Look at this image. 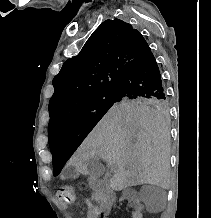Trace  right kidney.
<instances>
[{
    "label": "right kidney",
    "mask_w": 211,
    "mask_h": 218,
    "mask_svg": "<svg viewBox=\"0 0 211 218\" xmlns=\"http://www.w3.org/2000/svg\"><path fill=\"white\" fill-rule=\"evenodd\" d=\"M122 202H132V206H136V209H132V217L145 218L143 211H146V207L143 206L141 198H138V193L132 188H123Z\"/></svg>",
    "instance_id": "1"
}]
</instances>
